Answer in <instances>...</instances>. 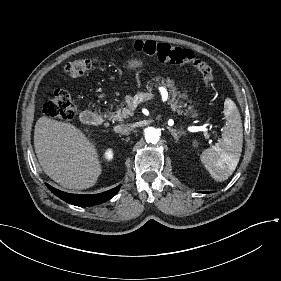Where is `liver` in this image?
<instances>
[{
    "label": "liver",
    "instance_id": "liver-1",
    "mask_svg": "<svg viewBox=\"0 0 281 281\" xmlns=\"http://www.w3.org/2000/svg\"><path fill=\"white\" fill-rule=\"evenodd\" d=\"M34 149L44 173L67 189L93 187L103 173L96 143L73 123L40 117L34 129Z\"/></svg>",
    "mask_w": 281,
    "mask_h": 281
}]
</instances>
